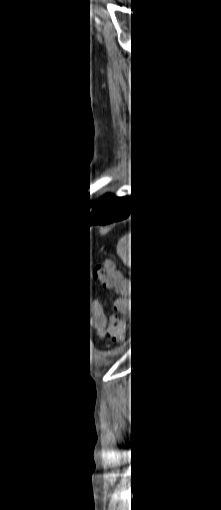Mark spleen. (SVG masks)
I'll return each mask as SVG.
<instances>
[{"label": "spleen", "mask_w": 221, "mask_h": 510, "mask_svg": "<svg viewBox=\"0 0 221 510\" xmlns=\"http://www.w3.org/2000/svg\"><path fill=\"white\" fill-rule=\"evenodd\" d=\"M119 250H121L122 254L127 255L129 258L130 253V237L126 236L125 238H121L118 245ZM127 253V254H125Z\"/></svg>", "instance_id": "3e777b00"}]
</instances>
